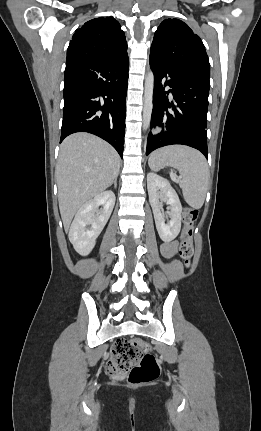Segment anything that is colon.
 <instances>
[{"instance_id": "obj_1", "label": "colon", "mask_w": 261, "mask_h": 431, "mask_svg": "<svg viewBox=\"0 0 261 431\" xmlns=\"http://www.w3.org/2000/svg\"><path fill=\"white\" fill-rule=\"evenodd\" d=\"M197 219V210L185 209V227L181 235L179 256L187 268L191 265L194 253V224ZM106 369L111 376L128 374L129 383L136 386L156 380L160 373L156 358L149 352V345L143 341L131 339H120L115 343Z\"/></svg>"}]
</instances>
